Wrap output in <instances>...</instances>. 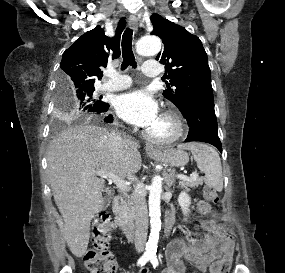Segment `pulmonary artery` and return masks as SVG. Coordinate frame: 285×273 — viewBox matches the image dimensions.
<instances>
[{
    "instance_id": "1",
    "label": "pulmonary artery",
    "mask_w": 285,
    "mask_h": 273,
    "mask_svg": "<svg viewBox=\"0 0 285 273\" xmlns=\"http://www.w3.org/2000/svg\"><path fill=\"white\" fill-rule=\"evenodd\" d=\"M142 72L149 77H157L161 70L156 61H147L143 64ZM108 79L101 85V89L108 91H119L128 88L132 81L127 75L120 74L109 68L106 72Z\"/></svg>"
}]
</instances>
